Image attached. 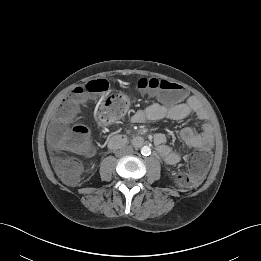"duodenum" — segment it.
<instances>
[{
    "instance_id": "410a0bca",
    "label": "duodenum",
    "mask_w": 261,
    "mask_h": 261,
    "mask_svg": "<svg viewBox=\"0 0 261 261\" xmlns=\"http://www.w3.org/2000/svg\"><path fill=\"white\" fill-rule=\"evenodd\" d=\"M132 141L135 145L138 146L143 145L145 143L144 138H142L141 136L133 137ZM127 143H128V138L126 135L123 134L115 135L109 140V146L111 148H120L127 145Z\"/></svg>"
}]
</instances>
